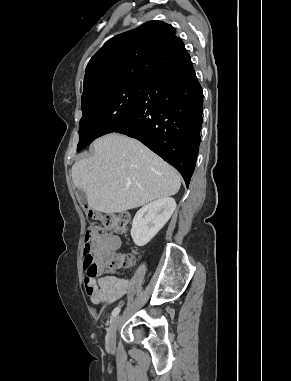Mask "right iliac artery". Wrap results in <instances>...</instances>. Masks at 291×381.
I'll list each match as a JSON object with an SVG mask.
<instances>
[{
	"label": "right iliac artery",
	"instance_id": "obj_1",
	"mask_svg": "<svg viewBox=\"0 0 291 381\" xmlns=\"http://www.w3.org/2000/svg\"><path fill=\"white\" fill-rule=\"evenodd\" d=\"M120 312V307H116L113 311H112V318L117 316L118 313Z\"/></svg>",
	"mask_w": 291,
	"mask_h": 381
}]
</instances>
